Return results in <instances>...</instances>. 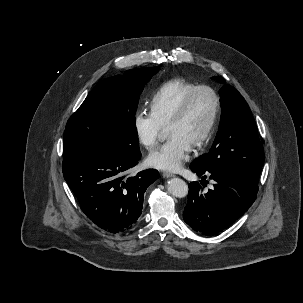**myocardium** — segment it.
<instances>
[{
	"label": "myocardium",
	"mask_w": 303,
	"mask_h": 303,
	"mask_svg": "<svg viewBox=\"0 0 303 303\" xmlns=\"http://www.w3.org/2000/svg\"><path fill=\"white\" fill-rule=\"evenodd\" d=\"M208 91L212 94L213 98H214V111L212 114V117L210 119V122L206 128V130L204 131V133L201 135V137L196 141V143L193 145L196 149L201 148L210 138L220 115V111H221V99L219 94L217 93V91L212 88L211 86L208 85H198L195 88H193L192 90H190L182 99L181 103L179 104V106L177 107V109L175 110V112L173 113V115L170 117L167 126L181 120L188 108L189 105L193 99V97L200 91Z\"/></svg>",
	"instance_id": "obj_1"
}]
</instances>
